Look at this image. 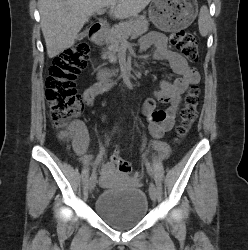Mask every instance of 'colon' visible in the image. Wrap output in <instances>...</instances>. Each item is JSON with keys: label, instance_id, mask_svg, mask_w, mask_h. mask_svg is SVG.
I'll return each instance as SVG.
<instances>
[{"label": "colon", "instance_id": "1", "mask_svg": "<svg viewBox=\"0 0 248 250\" xmlns=\"http://www.w3.org/2000/svg\"><path fill=\"white\" fill-rule=\"evenodd\" d=\"M170 41L188 61H198V45L191 33L174 31L170 34ZM88 57V44L80 42L57 56L49 69L46 79V96L53 125L63 140L72 135L68 126L72 119L82 111V102L75 87V80L80 71L86 67ZM198 103L199 88L193 84L185 95L180 111V123L176 130L179 137L185 136L194 123ZM112 162L123 173H129L132 169L128 161L117 155L112 157Z\"/></svg>", "mask_w": 248, "mask_h": 250}]
</instances>
